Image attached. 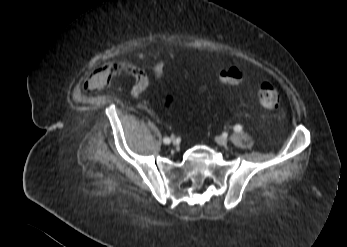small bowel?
Instances as JSON below:
<instances>
[{"mask_svg": "<svg viewBox=\"0 0 347 247\" xmlns=\"http://www.w3.org/2000/svg\"><path fill=\"white\" fill-rule=\"evenodd\" d=\"M164 64L163 61L158 60L153 67L154 78L157 81L164 79ZM119 72H126L134 80V84L131 88V94L134 97H139L148 87L149 78L145 71L135 65L134 63L127 62L124 64H108L102 68H99L93 72L88 79L85 81V88L88 90H99L103 87V84L108 82ZM206 90L205 86L199 88V93H204Z\"/></svg>", "mask_w": 347, "mask_h": 247, "instance_id": "small-bowel-1", "label": "small bowel"}]
</instances>
